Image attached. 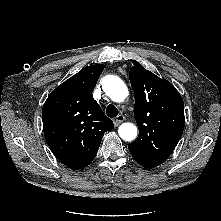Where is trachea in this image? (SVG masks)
Wrapping results in <instances>:
<instances>
[{
    "mask_svg": "<svg viewBox=\"0 0 221 221\" xmlns=\"http://www.w3.org/2000/svg\"><path fill=\"white\" fill-rule=\"evenodd\" d=\"M106 114L111 118L116 117L118 115V109L114 105L110 104L106 108Z\"/></svg>",
    "mask_w": 221,
    "mask_h": 221,
    "instance_id": "trachea-1",
    "label": "trachea"
}]
</instances>
